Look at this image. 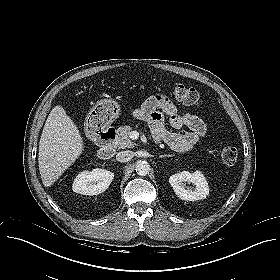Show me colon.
I'll use <instances>...</instances> for the list:
<instances>
[{
	"label": "colon",
	"mask_w": 280,
	"mask_h": 280,
	"mask_svg": "<svg viewBox=\"0 0 280 280\" xmlns=\"http://www.w3.org/2000/svg\"><path fill=\"white\" fill-rule=\"evenodd\" d=\"M172 95L185 105H196L200 100L198 90L192 86L176 85ZM238 152L232 146H226L221 151V160L225 165H233L237 160Z\"/></svg>",
	"instance_id": "colon-1"
}]
</instances>
